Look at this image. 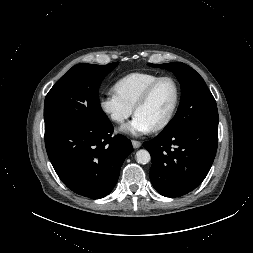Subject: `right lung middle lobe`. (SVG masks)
Wrapping results in <instances>:
<instances>
[{
	"mask_svg": "<svg viewBox=\"0 0 253 253\" xmlns=\"http://www.w3.org/2000/svg\"><path fill=\"white\" fill-rule=\"evenodd\" d=\"M118 65L77 64L48 92L44 103L45 130L56 126L91 124L107 119L98 100L102 80Z\"/></svg>",
	"mask_w": 253,
	"mask_h": 253,
	"instance_id": "obj_1",
	"label": "right lung middle lobe"
}]
</instances>
